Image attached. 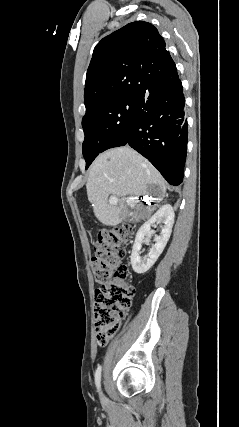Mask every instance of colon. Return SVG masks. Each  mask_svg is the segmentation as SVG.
<instances>
[{"label": "colon", "instance_id": "colon-1", "mask_svg": "<svg viewBox=\"0 0 239 427\" xmlns=\"http://www.w3.org/2000/svg\"><path fill=\"white\" fill-rule=\"evenodd\" d=\"M131 227L121 225L99 232L92 257V271L100 287L95 290V330L97 343L105 346L119 328L135 294L123 263Z\"/></svg>", "mask_w": 239, "mask_h": 427}]
</instances>
